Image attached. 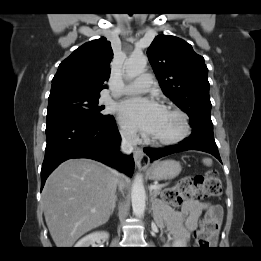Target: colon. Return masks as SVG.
I'll return each instance as SVG.
<instances>
[{"mask_svg": "<svg viewBox=\"0 0 261 261\" xmlns=\"http://www.w3.org/2000/svg\"><path fill=\"white\" fill-rule=\"evenodd\" d=\"M222 189L218 173L209 170L203 175L182 179L176 186L165 190L162 198L169 205L177 207L187 200L217 197ZM216 230L217 223L208 217L204 218L195 234L196 244L202 248L209 247Z\"/></svg>", "mask_w": 261, "mask_h": 261, "instance_id": "obj_1", "label": "colon"}]
</instances>
